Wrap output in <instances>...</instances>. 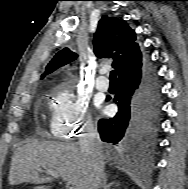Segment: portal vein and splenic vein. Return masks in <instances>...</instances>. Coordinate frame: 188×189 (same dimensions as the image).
Here are the masks:
<instances>
[{
	"label": "portal vein and splenic vein",
	"instance_id": "obj_1",
	"mask_svg": "<svg viewBox=\"0 0 188 189\" xmlns=\"http://www.w3.org/2000/svg\"><path fill=\"white\" fill-rule=\"evenodd\" d=\"M40 172H43L42 170H40ZM48 175H51L52 177H54V178H59L60 177V175L56 172V171H54V170H46L45 171ZM69 189H75V187H73V186H69L68 187Z\"/></svg>",
	"mask_w": 188,
	"mask_h": 189
}]
</instances>
